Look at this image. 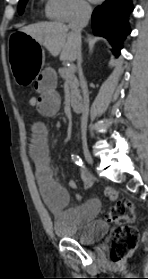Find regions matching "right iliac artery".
Returning a JSON list of instances; mask_svg holds the SVG:
<instances>
[{
    "label": "right iliac artery",
    "instance_id": "82829eb1",
    "mask_svg": "<svg viewBox=\"0 0 148 279\" xmlns=\"http://www.w3.org/2000/svg\"><path fill=\"white\" fill-rule=\"evenodd\" d=\"M72 160L79 166L83 164L81 157L78 155H72Z\"/></svg>",
    "mask_w": 148,
    "mask_h": 279
}]
</instances>
